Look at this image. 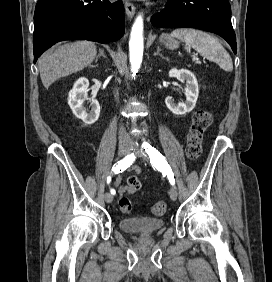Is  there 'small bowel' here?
Returning a JSON list of instances; mask_svg holds the SVG:
<instances>
[{
  "label": "small bowel",
  "instance_id": "1",
  "mask_svg": "<svg viewBox=\"0 0 272 282\" xmlns=\"http://www.w3.org/2000/svg\"><path fill=\"white\" fill-rule=\"evenodd\" d=\"M131 170L135 173H139L141 169L139 166L136 165L133 166ZM120 182H121V176H118L114 181V186L118 188V192L121 195H131L135 193L137 190H139V188L141 187V183L138 179H137V183L135 184L121 185Z\"/></svg>",
  "mask_w": 272,
  "mask_h": 282
}]
</instances>
